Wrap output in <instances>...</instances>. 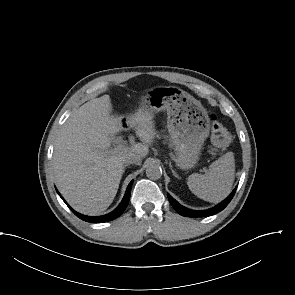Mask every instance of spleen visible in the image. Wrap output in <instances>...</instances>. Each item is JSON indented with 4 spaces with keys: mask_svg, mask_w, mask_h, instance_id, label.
Segmentation results:
<instances>
[{
    "mask_svg": "<svg viewBox=\"0 0 295 295\" xmlns=\"http://www.w3.org/2000/svg\"><path fill=\"white\" fill-rule=\"evenodd\" d=\"M235 160L232 152H227L211 163L204 175L191 174L187 185L198 198L217 203L225 199L231 192L234 182Z\"/></svg>",
    "mask_w": 295,
    "mask_h": 295,
    "instance_id": "spleen-1",
    "label": "spleen"
}]
</instances>
